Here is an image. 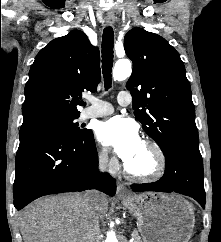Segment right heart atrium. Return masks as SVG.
I'll use <instances>...</instances> for the list:
<instances>
[{"label": "right heart atrium", "mask_w": 221, "mask_h": 242, "mask_svg": "<svg viewBox=\"0 0 221 242\" xmlns=\"http://www.w3.org/2000/svg\"><path fill=\"white\" fill-rule=\"evenodd\" d=\"M96 160L101 170L114 171L118 166L117 160L114 157H110L105 149L97 150Z\"/></svg>", "instance_id": "d8ad5b80"}]
</instances>
